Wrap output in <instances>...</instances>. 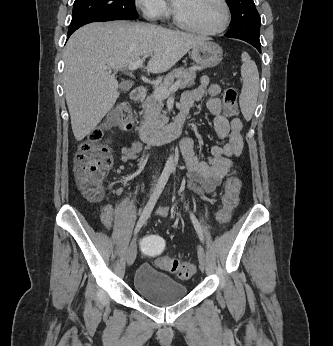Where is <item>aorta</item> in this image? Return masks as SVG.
I'll return each mask as SVG.
<instances>
[{"label": "aorta", "mask_w": 333, "mask_h": 346, "mask_svg": "<svg viewBox=\"0 0 333 346\" xmlns=\"http://www.w3.org/2000/svg\"><path fill=\"white\" fill-rule=\"evenodd\" d=\"M166 167L170 168V169H174V167H175V160H174L173 155H170L168 157L167 162H166Z\"/></svg>", "instance_id": "aorta-1"}]
</instances>
